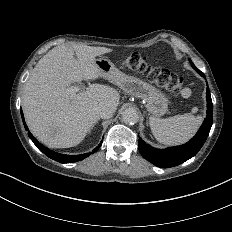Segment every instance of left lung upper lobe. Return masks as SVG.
Segmentation results:
<instances>
[{"mask_svg":"<svg viewBox=\"0 0 232 232\" xmlns=\"http://www.w3.org/2000/svg\"><path fill=\"white\" fill-rule=\"evenodd\" d=\"M189 62L191 63V65H192V67L197 71V72H199L200 70H198L196 67H195V65L193 64V62L189 59Z\"/></svg>","mask_w":232,"mask_h":232,"instance_id":"5c2ea615","label":"left lung upper lobe"}]
</instances>
